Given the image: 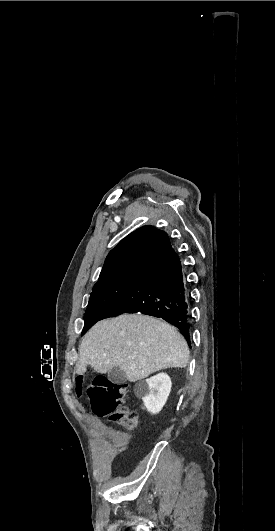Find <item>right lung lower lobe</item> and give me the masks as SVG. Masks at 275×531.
Returning a JSON list of instances; mask_svg holds the SVG:
<instances>
[{
  "mask_svg": "<svg viewBox=\"0 0 275 531\" xmlns=\"http://www.w3.org/2000/svg\"><path fill=\"white\" fill-rule=\"evenodd\" d=\"M123 313L162 318L177 327L190 345L189 294L181 261L171 245L145 267L102 319Z\"/></svg>",
  "mask_w": 275,
  "mask_h": 531,
  "instance_id": "98d812e1",
  "label": "right lung lower lobe"
}]
</instances>
